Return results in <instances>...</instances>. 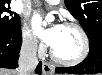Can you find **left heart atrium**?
<instances>
[{"instance_id":"left-heart-atrium-1","label":"left heart atrium","mask_w":102,"mask_h":75,"mask_svg":"<svg viewBox=\"0 0 102 75\" xmlns=\"http://www.w3.org/2000/svg\"><path fill=\"white\" fill-rule=\"evenodd\" d=\"M59 24H55L49 29H44L41 27V17L36 15L33 20V28L35 33L45 42L47 45L52 46L56 39Z\"/></svg>"}]
</instances>
